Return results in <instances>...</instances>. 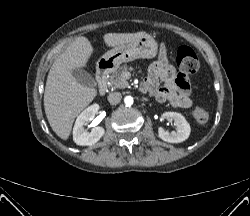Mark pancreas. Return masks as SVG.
Segmentation results:
<instances>
[{"label":"pancreas","mask_w":250,"mask_h":216,"mask_svg":"<svg viewBox=\"0 0 250 216\" xmlns=\"http://www.w3.org/2000/svg\"><path fill=\"white\" fill-rule=\"evenodd\" d=\"M128 71V66L123 65L119 67L116 71H114L109 77V85L116 89V88H125L129 84L127 80L124 78V73Z\"/></svg>","instance_id":"1"}]
</instances>
